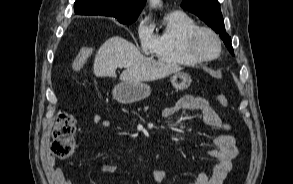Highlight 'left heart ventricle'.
<instances>
[{
	"label": "left heart ventricle",
	"mask_w": 293,
	"mask_h": 184,
	"mask_svg": "<svg viewBox=\"0 0 293 184\" xmlns=\"http://www.w3.org/2000/svg\"><path fill=\"white\" fill-rule=\"evenodd\" d=\"M196 47L201 54L207 56L216 54L218 50L215 39L207 33H202L198 37Z\"/></svg>",
	"instance_id": "left-heart-ventricle-1"
}]
</instances>
